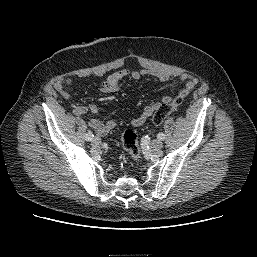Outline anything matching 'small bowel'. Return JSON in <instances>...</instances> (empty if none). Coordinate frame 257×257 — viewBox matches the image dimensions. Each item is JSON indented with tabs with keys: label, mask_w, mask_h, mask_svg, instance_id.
Here are the masks:
<instances>
[{
	"label": "small bowel",
	"mask_w": 257,
	"mask_h": 257,
	"mask_svg": "<svg viewBox=\"0 0 257 257\" xmlns=\"http://www.w3.org/2000/svg\"><path fill=\"white\" fill-rule=\"evenodd\" d=\"M154 75L160 81L166 82L175 80L174 76H171L168 72L162 70H149V69H140V70H129V69H121L112 74H110L101 84V91L103 93H114L119 91L121 81L130 77L133 80H139L144 75ZM178 80L183 84V89L180 90L178 96L181 98H185L195 87L196 79L190 74H182L178 77ZM73 79L68 77L63 80L57 82L55 84L56 90L61 92L64 96L68 93L65 91L66 87L72 85ZM172 100V97L169 95L163 96L161 102L158 101H150L142 113L135 119L132 120L133 126H141L146 120L156 111L161 103H167ZM92 113L94 115L93 118L87 120L88 125L93 129V131L99 135L103 136L109 133L112 129L115 128L117 122L116 120L110 119L105 122L100 121L96 116L98 114V108L96 105L84 106L77 105L74 109V113L77 116L84 117L88 113Z\"/></svg>",
	"instance_id": "c3829d8e"
}]
</instances>
